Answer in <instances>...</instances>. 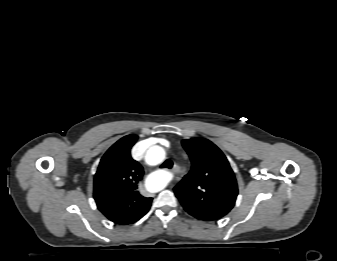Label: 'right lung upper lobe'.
<instances>
[{"label": "right lung upper lobe", "instance_id": "cb5924a9", "mask_svg": "<svg viewBox=\"0 0 337 261\" xmlns=\"http://www.w3.org/2000/svg\"><path fill=\"white\" fill-rule=\"evenodd\" d=\"M137 139V135H127L110 147L94 178L93 195L98 209L120 225L138 221L148 212L152 202V198H146L138 191L144 171L130 154Z\"/></svg>", "mask_w": 337, "mask_h": 261}]
</instances>
